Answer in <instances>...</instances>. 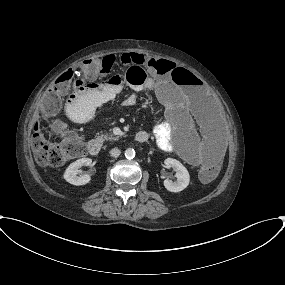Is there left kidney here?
Masks as SVG:
<instances>
[{"instance_id":"1","label":"left kidney","mask_w":285,"mask_h":285,"mask_svg":"<svg viewBox=\"0 0 285 285\" xmlns=\"http://www.w3.org/2000/svg\"><path fill=\"white\" fill-rule=\"evenodd\" d=\"M166 168H173L176 171L175 177L177 178L176 182L166 179L164 180L165 188L170 192H180L184 190L190 181V175L187 169L176 159L167 158L164 161Z\"/></svg>"}]
</instances>
